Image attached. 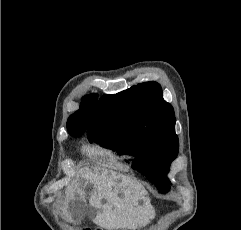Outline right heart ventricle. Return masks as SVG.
<instances>
[{
  "label": "right heart ventricle",
  "instance_id": "right-heart-ventricle-1",
  "mask_svg": "<svg viewBox=\"0 0 241 230\" xmlns=\"http://www.w3.org/2000/svg\"><path fill=\"white\" fill-rule=\"evenodd\" d=\"M86 151L93 157L100 161L106 162L117 167H124L122 164V155L117 151L108 147H99L97 145L86 147Z\"/></svg>",
  "mask_w": 241,
  "mask_h": 230
}]
</instances>
